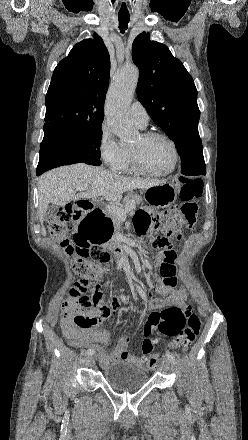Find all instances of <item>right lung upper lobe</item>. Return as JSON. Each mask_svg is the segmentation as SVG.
<instances>
[{
    "label": "right lung upper lobe",
    "mask_w": 248,
    "mask_h": 440,
    "mask_svg": "<svg viewBox=\"0 0 248 440\" xmlns=\"http://www.w3.org/2000/svg\"><path fill=\"white\" fill-rule=\"evenodd\" d=\"M110 58L97 34L77 43L56 66L45 98L44 138L102 126Z\"/></svg>",
    "instance_id": "right-lung-upper-lobe-1"
}]
</instances>
